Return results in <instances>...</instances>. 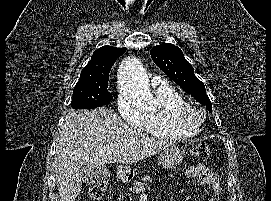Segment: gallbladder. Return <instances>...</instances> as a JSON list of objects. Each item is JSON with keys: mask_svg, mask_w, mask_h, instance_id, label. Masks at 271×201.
Segmentation results:
<instances>
[{"mask_svg": "<svg viewBox=\"0 0 271 201\" xmlns=\"http://www.w3.org/2000/svg\"><path fill=\"white\" fill-rule=\"evenodd\" d=\"M79 175L87 184H96L105 181L110 176V171L105 165L86 163L79 170Z\"/></svg>", "mask_w": 271, "mask_h": 201, "instance_id": "1", "label": "gallbladder"}]
</instances>
